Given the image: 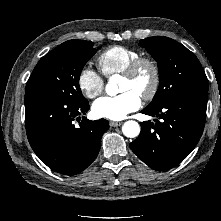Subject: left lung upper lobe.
Listing matches in <instances>:
<instances>
[{
	"mask_svg": "<svg viewBox=\"0 0 221 221\" xmlns=\"http://www.w3.org/2000/svg\"><path fill=\"white\" fill-rule=\"evenodd\" d=\"M157 61L160 84L147 108H154L189 91L208 92L205 72L197 57L179 42L163 36L140 40Z\"/></svg>",
	"mask_w": 221,
	"mask_h": 221,
	"instance_id": "left-lung-upper-lobe-1",
	"label": "left lung upper lobe"
}]
</instances>
